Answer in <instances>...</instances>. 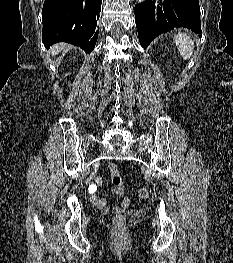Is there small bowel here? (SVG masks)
Masks as SVG:
<instances>
[{
    "instance_id": "obj_1",
    "label": "small bowel",
    "mask_w": 233,
    "mask_h": 263,
    "mask_svg": "<svg viewBox=\"0 0 233 263\" xmlns=\"http://www.w3.org/2000/svg\"><path fill=\"white\" fill-rule=\"evenodd\" d=\"M96 182H97V185H101L103 182V178L97 177ZM114 191L117 194H122L123 189L114 185ZM95 195H96V198H95L96 200L95 201L93 200V201L96 204V206L102 211H107L110 208V205L108 204L106 199L103 197H100L97 193H95ZM129 206H130V200L128 198H124L118 206H114L113 208H114V210H116L118 212H123V211L127 210L129 208Z\"/></svg>"
}]
</instances>
